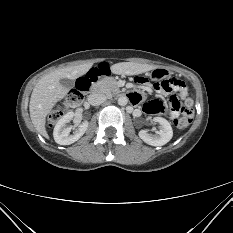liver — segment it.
Returning a JSON list of instances; mask_svg holds the SVG:
<instances>
[{"label": "liver", "instance_id": "6515ba94", "mask_svg": "<svg viewBox=\"0 0 233 233\" xmlns=\"http://www.w3.org/2000/svg\"><path fill=\"white\" fill-rule=\"evenodd\" d=\"M92 63L65 67L43 76L35 85L29 103L31 121L35 129L45 138H48L45 129V119L55 104L63 99L68 89L60 84L62 78L75 80L86 74ZM155 67L148 64L121 62L111 66V72L122 75H137L153 70Z\"/></svg>", "mask_w": 233, "mask_h": 233}]
</instances>
